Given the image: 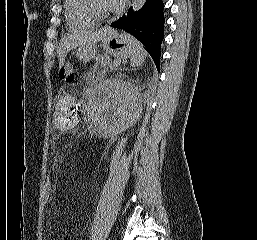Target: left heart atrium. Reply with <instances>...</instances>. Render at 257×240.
I'll use <instances>...</instances> for the list:
<instances>
[{"instance_id":"obj_1","label":"left heart atrium","mask_w":257,"mask_h":240,"mask_svg":"<svg viewBox=\"0 0 257 240\" xmlns=\"http://www.w3.org/2000/svg\"><path fill=\"white\" fill-rule=\"evenodd\" d=\"M108 2L111 10H119L125 5L126 0H108Z\"/></svg>"}]
</instances>
